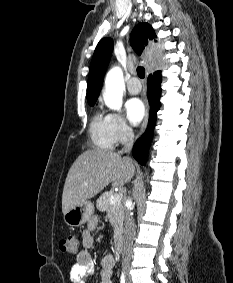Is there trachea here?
<instances>
[{
	"label": "trachea",
	"mask_w": 233,
	"mask_h": 283,
	"mask_svg": "<svg viewBox=\"0 0 233 283\" xmlns=\"http://www.w3.org/2000/svg\"><path fill=\"white\" fill-rule=\"evenodd\" d=\"M137 74L141 79H143L145 77V69L143 67L139 66L137 68Z\"/></svg>",
	"instance_id": "trachea-1"
}]
</instances>
